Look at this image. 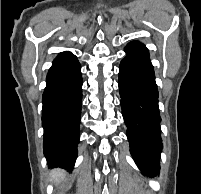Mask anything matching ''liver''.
<instances>
[{
  "label": "liver",
  "mask_w": 201,
  "mask_h": 194,
  "mask_svg": "<svg viewBox=\"0 0 201 194\" xmlns=\"http://www.w3.org/2000/svg\"><path fill=\"white\" fill-rule=\"evenodd\" d=\"M65 177V172L60 169H55L52 171V178L53 180L59 182L62 181Z\"/></svg>",
  "instance_id": "1"
}]
</instances>
